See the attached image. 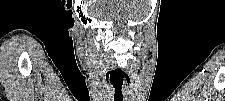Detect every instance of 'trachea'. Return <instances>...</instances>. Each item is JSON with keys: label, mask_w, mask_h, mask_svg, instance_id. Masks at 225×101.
I'll use <instances>...</instances> for the list:
<instances>
[{"label": "trachea", "mask_w": 225, "mask_h": 101, "mask_svg": "<svg viewBox=\"0 0 225 101\" xmlns=\"http://www.w3.org/2000/svg\"><path fill=\"white\" fill-rule=\"evenodd\" d=\"M114 101H123L122 85L115 87Z\"/></svg>", "instance_id": "obj_1"}]
</instances>
